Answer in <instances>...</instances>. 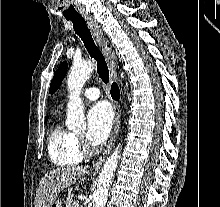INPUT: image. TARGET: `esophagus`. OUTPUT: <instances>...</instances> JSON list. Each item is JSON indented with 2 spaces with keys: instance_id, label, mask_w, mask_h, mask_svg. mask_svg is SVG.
I'll return each instance as SVG.
<instances>
[{
  "instance_id": "34e87169",
  "label": "esophagus",
  "mask_w": 220,
  "mask_h": 207,
  "mask_svg": "<svg viewBox=\"0 0 220 207\" xmlns=\"http://www.w3.org/2000/svg\"><path fill=\"white\" fill-rule=\"evenodd\" d=\"M83 17L86 20L88 26L90 27L93 35L95 36L96 41L102 48V51L105 55V58L108 64L111 82H116L117 73H116V58H115L114 51L112 50V48L107 46V38L105 34L103 33V31L101 30L98 22L90 15L84 14ZM112 104H113V109H114L113 131H112L110 140L106 148L104 149L103 153L101 154V156L98 158V160L96 161L94 165L95 170H98L102 166V164L105 162L118 136V132L120 128L121 109H120V105L116 101L112 100Z\"/></svg>"
}]
</instances>
